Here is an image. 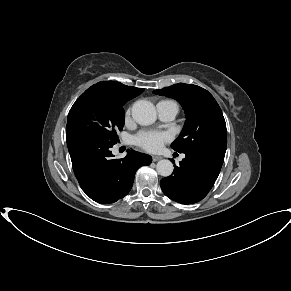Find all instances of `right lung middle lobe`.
<instances>
[{"label":"right lung middle lobe","instance_id":"dd1d6c3e","mask_svg":"<svg viewBox=\"0 0 291 291\" xmlns=\"http://www.w3.org/2000/svg\"><path fill=\"white\" fill-rule=\"evenodd\" d=\"M125 103L106 93L86 90L69 111L66 135H86L114 145L118 137L116 131L124 126L122 106Z\"/></svg>","mask_w":291,"mask_h":291}]
</instances>
